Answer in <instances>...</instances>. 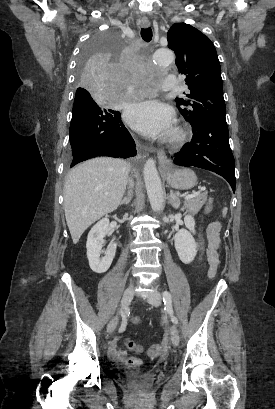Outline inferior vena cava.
I'll list each match as a JSON object with an SVG mask.
<instances>
[{
    "label": "inferior vena cava",
    "mask_w": 275,
    "mask_h": 409,
    "mask_svg": "<svg viewBox=\"0 0 275 409\" xmlns=\"http://www.w3.org/2000/svg\"><path fill=\"white\" fill-rule=\"evenodd\" d=\"M130 182H131V186H132V180H130Z\"/></svg>",
    "instance_id": "602c4592"
}]
</instances>
